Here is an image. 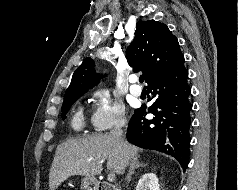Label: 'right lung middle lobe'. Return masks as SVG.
Returning <instances> with one entry per match:
<instances>
[{
	"instance_id": "right-lung-middle-lobe-1",
	"label": "right lung middle lobe",
	"mask_w": 238,
	"mask_h": 190,
	"mask_svg": "<svg viewBox=\"0 0 238 190\" xmlns=\"http://www.w3.org/2000/svg\"><path fill=\"white\" fill-rule=\"evenodd\" d=\"M82 95L83 94H74V95H69V96L64 97V102L62 105L63 113L61 114L62 118L66 117V113H67L69 107Z\"/></svg>"
}]
</instances>
